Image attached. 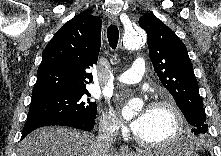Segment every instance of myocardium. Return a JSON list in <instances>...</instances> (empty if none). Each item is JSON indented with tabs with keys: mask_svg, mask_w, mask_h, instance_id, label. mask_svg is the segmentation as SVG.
<instances>
[{
	"mask_svg": "<svg viewBox=\"0 0 221 156\" xmlns=\"http://www.w3.org/2000/svg\"><path fill=\"white\" fill-rule=\"evenodd\" d=\"M151 107H165L168 108L174 115L176 120V128L174 133L167 139L157 142H149L140 138L137 133H134V139L138 144L147 148H161L169 146L177 142L185 131V117L179 106L170 99H158L151 104Z\"/></svg>",
	"mask_w": 221,
	"mask_h": 156,
	"instance_id": "f54148a6",
	"label": "myocardium"
}]
</instances>
